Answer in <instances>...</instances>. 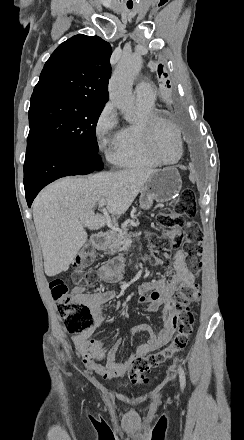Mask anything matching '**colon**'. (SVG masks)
<instances>
[{"instance_id": "colon-1", "label": "colon", "mask_w": 244, "mask_h": 440, "mask_svg": "<svg viewBox=\"0 0 244 440\" xmlns=\"http://www.w3.org/2000/svg\"><path fill=\"white\" fill-rule=\"evenodd\" d=\"M197 215L196 196L193 190L185 189L172 210L166 209L158 214L157 224L160 229L168 232L162 236L153 235L150 244L157 254V262H168V251L182 248L188 270L194 276H200L202 264V237L203 232L197 223H188L186 219H193ZM81 263H76V272H85L94 264V251L92 248H83ZM96 280L90 272L85 282L94 283ZM49 289L53 300L57 303L61 316L68 314L67 327L72 330V319H91L93 313L88 304H75L69 292L66 281L54 278L49 282ZM200 288L196 285L183 286L176 295V302L171 306L173 311L171 322L175 334L170 343L159 352L148 353L132 360L130 365V379L135 382H145L146 372L160 367L175 354L184 350L192 334L194 315L191 303L199 301Z\"/></svg>"}]
</instances>
